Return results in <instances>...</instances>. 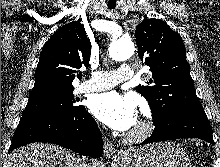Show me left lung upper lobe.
Returning a JSON list of instances; mask_svg holds the SVG:
<instances>
[{
  "instance_id": "obj_1",
  "label": "left lung upper lobe",
  "mask_w": 220,
  "mask_h": 167,
  "mask_svg": "<svg viewBox=\"0 0 220 167\" xmlns=\"http://www.w3.org/2000/svg\"><path fill=\"white\" fill-rule=\"evenodd\" d=\"M140 59L152 72L136 90L150 104L153 121L185 108L202 107L196 95L181 36L164 21L146 19L135 31Z\"/></svg>"
}]
</instances>
